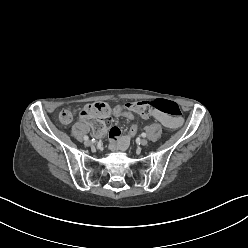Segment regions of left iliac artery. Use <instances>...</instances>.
<instances>
[{
  "mask_svg": "<svg viewBox=\"0 0 248 248\" xmlns=\"http://www.w3.org/2000/svg\"><path fill=\"white\" fill-rule=\"evenodd\" d=\"M141 136H142V137H146V133H142Z\"/></svg>",
  "mask_w": 248,
  "mask_h": 248,
  "instance_id": "obj_1",
  "label": "left iliac artery"
}]
</instances>
